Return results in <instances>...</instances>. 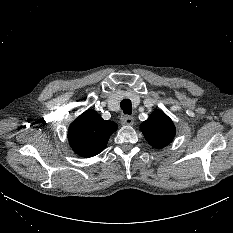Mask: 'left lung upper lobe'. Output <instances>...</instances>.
Here are the masks:
<instances>
[{
	"instance_id": "left-lung-upper-lobe-1",
	"label": "left lung upper lobe",
	"mask_w": 233,
	"mask_h": 233,
	"mask_svg": "<svg viewBox=\"0 0 233 233\" xmlns=\"http://www.w3.org/2000/svg\"><path fill=\"white\" fill-rule=\"evenodd\" d=\"M146 140L157 149L168 145L175 136L172 120L162 111H154L140 126Z\"/></svg>"
}]
</instances>
